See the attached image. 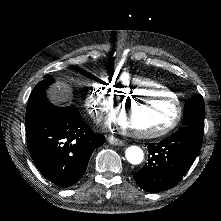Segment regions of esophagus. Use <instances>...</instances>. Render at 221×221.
<instances>
[{
    "instance_id": "obj_1",
    "label": "esophagus",
    "mask_w": 221,
    "mask_h": 221,
    "mask_svg": "<svg viewBox=\"0 0 221 221\" xmlns=\"http://www.w3.org/2000/svg\"><path fill=\"white\" fill-rule=\"evenodd\" d=\"M108 142L112 145H118V146H123L124 142L118 138H115L114 136H109L108 137Z\"/></svg>"
}]
</instances>
